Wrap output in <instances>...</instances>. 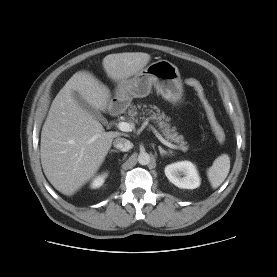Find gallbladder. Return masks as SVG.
<instances>
[{
  "instance_id": "gallbladder-1",
  "label": "gallbladder",
  "mask_w": 277,
  "mask_h": 277,
  "mask_svg": "<svg viewBox=\"0 0 277 277\" xmlns=\"http://www.w3.org/2000/svg\"><path fill=\"white\" fill-rule=\"evenodd\" d=\"M74 100L87 112L93 115L94 118L99 120L102 124L106 125L107 120L97 110L93 109L78 92L73 93Z\"/></svg>"
}]
</instances>
